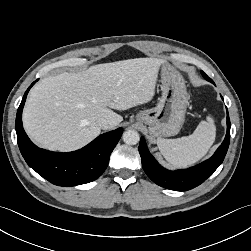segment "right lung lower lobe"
Masks as SVG:
<instances>
[{
  "label": "right lung lower lobe",
  "mask_w": 251,
  "mask_h": 251,
  "mask_svg": "<svg viewBox=\"0 0 251 251\" xmlns=\"http://www.w3.org/2000/svg\"><path fill=\"white\" fill-rule=\"evenodd\" d=\"M35 82L25 92L16 115L17 141L25 161L39 175L58 186H76L96 180L108 166L110 154L123 129L104 133L74 152L57 153L38 148L28 138L22 125L26 96Z\"/></svg>",
  "instance_id": "98d812e1"
}]
</instances>
